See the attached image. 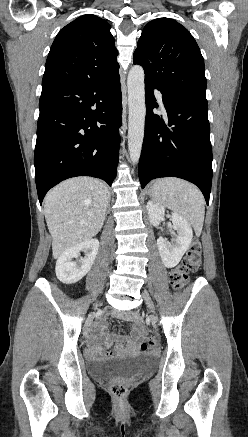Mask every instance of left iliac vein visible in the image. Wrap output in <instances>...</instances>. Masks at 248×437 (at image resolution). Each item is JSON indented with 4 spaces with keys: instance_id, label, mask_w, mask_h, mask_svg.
Here are the masks:
<instances>
[{
    "instance_id": "4c4485c4",
    "label": "left iliac vein",
    "mask_w": 248,
    "mask_h": 437,
    "mask_svg": "<svg viewBox=\"0 0 248 437\" xmlns=\"http://www.w3.org/2000/svg\"><path fill=\"white\" fill-rule=\"evenodd\" d=\"M143 297H144V300H145L146 304L148 305V307L153 311L154 305H153V302H152L149 294L147 292H144Z\"/></svg>"
}]
</instances>
